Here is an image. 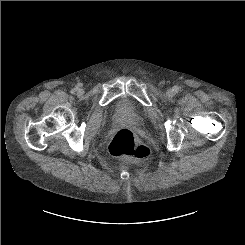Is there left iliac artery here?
<instances>
[{
  "label": "left iliac artery",
  "instance_id": "44dca946",
  "mask_svg": "<svg viewBox=\"0 0 245 245\" xmlns=\"http://www.w3.org/2000/svg\"><path fill=\"white\" fill-rule=\"evenodd\" d=\"M172 91H173V93H178L179 92V87L178 86H174Z\"/></svg>",
  "mask_w": 245,
  "mask_h": 245
}]
</instances>
